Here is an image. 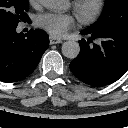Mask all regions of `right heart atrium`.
I'll use <instances>...</instances> for the list:
<instances>
[{"instance_id":"obj_1","label":"right heart atrium","mask_w":128,"mask_h":128,"mask_svg":"<svg viewBox=\"0 0 128 128\" xmlns=\"http://www.w3.org/2000/svg\"><path fill=\"white\" fill-rule=\"evenodd\" d=\"M28 2L33 5L36 6L39 3V0H28Z\"/></svg>"}]
</instances>
